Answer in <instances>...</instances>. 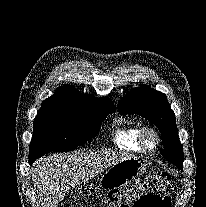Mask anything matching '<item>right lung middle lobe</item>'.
Masks as SVG:
<instances>
[{"label": "right lung middle lobe", "instance_id": "obj_1", "mask_svg": "<svg viewBox=\"0 0 206 207\" xmlns=\"http://www.w3.org/2000/svg\"><path fill=\"white\" fill-rule=\"evenodd\" d=\"M114 108L83 110L62 106H41L33 127L29 157L49 152H67L96 136L101 122Z\"/></svg>", "mask_w": 206, "mask_h": 207}]
</instances>
